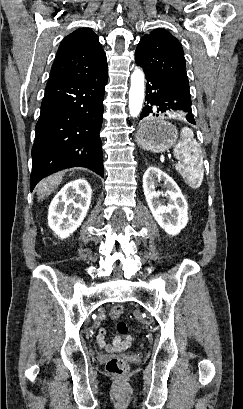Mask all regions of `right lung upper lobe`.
Here are the masks:
<instances>
[{"label": "right lung upper lobe", "instance_id": "right-lung-upper-lobe-1", "mask_svg": "<svg viewBox=\"0 0 243 409\" xmlns=\"http://www.w3.org/2000/svg\"><path fill=\"white\" fill-rule=\"evenodd\" d=\"M106 68V55L98 36L90 29H78L62 40L49 81L83 80Z\"/></svg>", "mask_w": 243, "mask_h": 409}]
</instances>
